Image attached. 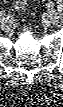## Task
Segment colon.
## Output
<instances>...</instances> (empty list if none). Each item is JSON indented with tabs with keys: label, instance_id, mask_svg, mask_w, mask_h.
Instances as JSON below:
<instances>
[{
	"label": "colon",
	"instance_id": "5ec220e1",
	"mask_svg": "<svg viewBox=\"0 0 63 107\" xmlns=\"http://www.w3.org/2000/svg\"><path fill=\"white\" fill-rule=\"evenodd\" d=\"M17 8L23 10L26 6V1L25 0H19L15 2Z\"/></svg>",
	"mask_w": 63,
	"mask_h": 107
}]
</instances>
